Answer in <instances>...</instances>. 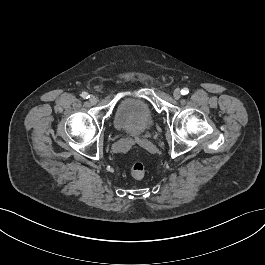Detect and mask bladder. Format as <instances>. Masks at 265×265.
<instances>
[{
  "mask_svg": "<svg viewBox=\"0 0 265 265\" xmlns=\"http://www.w3.org/2000/svg\"><path fill=\"white\" fill-rule=\"evenodd\" d=\"M154 116L150 107L143 101L126 97L117 106L114 124L117 130L131 135H138L149 130Z\"/></svg>",
  "mask_w": 265,
  "mask_h": 265,
  "instance_id": "31cf9c89",
  "label": "bladder"
}]
</instances>
